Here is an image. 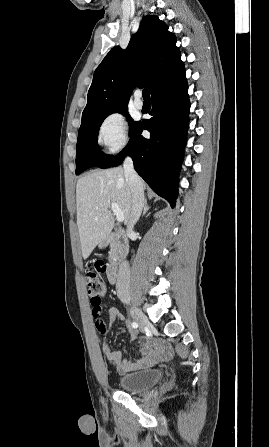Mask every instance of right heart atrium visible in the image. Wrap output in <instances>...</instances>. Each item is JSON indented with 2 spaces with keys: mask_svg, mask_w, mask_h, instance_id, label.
<instances>
[{
  "mask_svg": "<svg viewBox=\"0 0 269 447\" xmlns=\"http://www.w3.org/2000/svg\"><path fill=\"white\" fill-rule=\"evenodd\" d=\"M129 141L126 117L118 111L108 114L100 123L96 142L107 154L120 151Z\"/></svg>",
  "mask_w": 269,
  "mask_h": 447,
  "instance_id": "obj_1",
  "label": "right heart atrium"
}]
</instances>
